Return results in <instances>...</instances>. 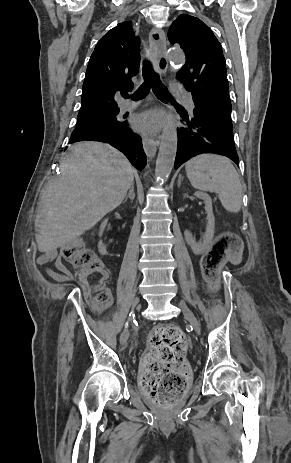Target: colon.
<instances>
[{"label":"colon","mask_w":291,"mask_h":463,"mask_svg":"<svg viewBox=\"0 0 291 463\" xmlns=\"http://www.w3.org/2000/svg\"><path fill=\"white\" fill-rule=\"evenodd\" d=\"M239 238L235 233H223L212 243L203 257L206 277L214 280L225 258L236 255ZM61 256L72 265L95 310L108 306L111 293L105 288L107 271L95 253L75 240L61 248ZM187 339L175 325L157 328L150 336L149 349L142 359V388L154 402L170 405L187 387L188 367L184 361Z\"/></svg>","instance_id":"1"}]
</instances>
